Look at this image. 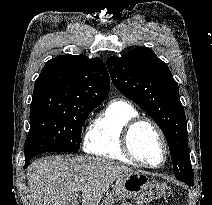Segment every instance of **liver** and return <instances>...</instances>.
Returning <instances> with one entry per match:
<instances>
[{
    "instance_id": "6515ba94",
    "label": "liver",
    "mask_w": 212,
    "mask_h": 205,
    "mask_svg": "<svg viewBox=\"0 0 212 205\" xmlns=\"http://www.w3.org/2000/svg\"><path fill=\"white\" fill-rule=\"evenodd\" d=\"M134 171L91 156L44 157L27 171L32 205H99L111 184Z\"/></svg>"
}]
</instances>
